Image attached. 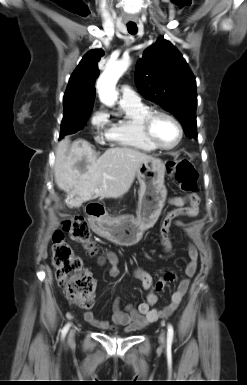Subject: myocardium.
Here are the masks:
<instances>
[{"instance_id": "1", "label": "myocardium", "mask_w": 247, "mask_h": 385, "mask_svg": "<svg viewBox=\"0 0 247 385\" xmlns=\"http://www.w3.org/2000/svg\"><path fill=\"white\" fill-rule=\"evenodd\" d=\"M157 117H166V118L170 119L176 125L178 132H179V137H178V140L176 141L175 144H173L171 146H163L156 140V138L153 134V128L152 127H153L154 120ZM141 128H142L143 134L145 135L147 140L156 149L165 150V151L173 150L177 146H179V144L181 143L183 136H184V130H183V127H182L180 121L174 115L170 114L169 112L163 111V110H151L148 114H146L144 116V118L142 119Z\"/></svg>"}]
</instances>
